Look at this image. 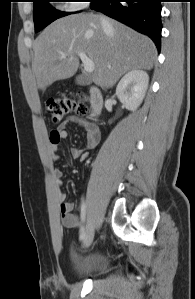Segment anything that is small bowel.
<instances>
[{
	"label": "small bowel",
	"mask_w": 195,
	"mask_h": 299,
	"mask_svg": "<svg viewBox=\"0 0 195 299\" xmlns=\"http://www.w3.org/2000/svg\"><path fill=\"white\" fill-rule=\"evenodd\" d=\"M68 123H76L86 131V145L84 148H72L71 156L73 158H81L85 152L94 149L100 142L101 134L99 128L88 120L71 117L56 130H54L49 138V146L52 159L58 161L57 150L59 143L69 137L67 130ZM55 180V194L59 202V212L61 223L64 227L69 229H76L81 226V219L73 212L74 203L66 199V195L61 188V180L63 172L55 168L52 172Z\"/></svg>",
	"instance_id": "small-bowel-1"
}]
</instances>
